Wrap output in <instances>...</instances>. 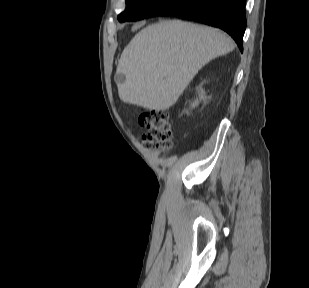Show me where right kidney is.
<instances>
[{"mask_svg": "<svg viewBox=\"0 0 309 288\" xmlns=\"http://www.w3.org/2000/svg\"><path fill=\"white\" fill-rule=\"evenodd\" d=\"M198 89V92H199V99L197 98L192 104H191V107L192 108H195L196 106H198L199 102L201 100H204L206 99V96H205V91L200 87L197 88Z\"/></svg>", "mask_w": 309, "mask_h": 288, "instance_id": "ca27d5eb", "label": "right kidney"}]
</instances>
